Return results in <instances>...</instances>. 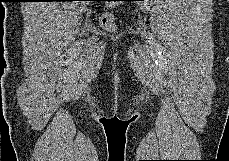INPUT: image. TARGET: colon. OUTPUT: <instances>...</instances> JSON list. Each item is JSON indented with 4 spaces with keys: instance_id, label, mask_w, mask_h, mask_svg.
<instances>
[{
    "instance_id": "1",
    "label": "colon",
    "mask_w": 229,
    "mask_h": 161,
    "mask_svg": "<svg viewBox=\"0 0 229 161\" xmlns=\"http://www.w3.org/2000/svg\"><path fill=\"white\" fill-rule=\"evenodd\" d=\"M110 2H113V3L108 4L109 10L101 15L99 19V23L104 30L113 32L116 29V25H115V15L112 9L117 4L115 3L116 1H110Z\"/></svg>"
}]
</instances>
